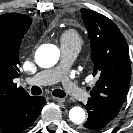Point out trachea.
Listing matches in <instances>:
<instances>
[{
	"label": "trachea",
	"instance_id": "trachea-1",
	"mask_svg": "<svg viewBox=\"0 0 133 133\" xmlns=\"http://www.w3.org/2000/svg\"><path fill=\"white\" fill-rule=\"evenodd\" d=\"M31 94L33 95H40L42 93V90L38 86H33L31 89H28ZM52 94L56 97H65L66 93L63 90L56 89L52 91Z\"/></svg>",
	"mask_w": 133,
	"mask_h": 133
}]
</instances>
